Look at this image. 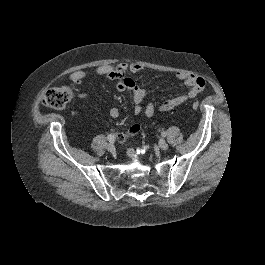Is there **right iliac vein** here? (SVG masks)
Wrapping results in <instances>:
<instances>
[{"mask_svg": "<svg viewBox=\"0 0 265 265\" xmlns=\"http://www.w3.org/2000/svg\"><path fill=\"white\" fill-rule=\"evenodd\" d=\"M106 149H107L109 152H114V151H115V146H114L113 143H109V144H107Z\"/></svg>", "mask_w": 265, "mask_h": 265, "instance_id": "obj_1", "label": "right iliac vein"}]
</instances>
